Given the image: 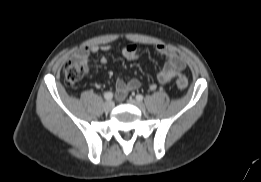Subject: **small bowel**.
<instances>
[{"label":"small bowel","instance_id":"obj_1","mask_svg":"<svg viewBox=\"0 0 261 182\" xmlns=\"http://www.w3.org/2000/svg\"><path fill=\"white\" fill-rule=\"evenodd\" d=\"M111 50L112 47L110 45H88L77 50L72 55V60L78 62L85 74H87L89 71L90 56L100 52H109ZM155 50L166 60L163 68L157 74L158 82L160 84H167L175 75L184 70L186 66L185 59L172 47L157 45ZM121 53L124 58L129 61H133L139 56V48L135 44H129L121 49ZM100 62L102 64L107 63V57L102 56L100 58ZM115 86L117 97L119 99H123L128 92L137 90L140 87V82L137 79H130L128 81L117 79ZM155 88V84H151L149 86L150 90H155Z\"/></svg>","mask_w":261,"mask_h":182}]
</instances>
